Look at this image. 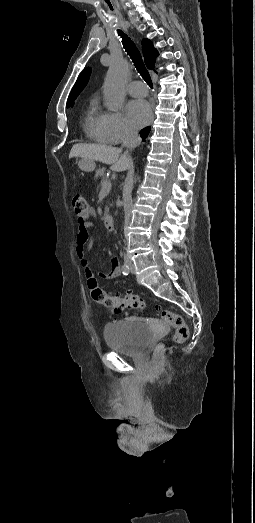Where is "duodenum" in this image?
<instances>
[{
	"label": "duodenum",
	"mask_w": 255,
	"mask_h": 523,
	"mask_svg": "<svg viewBox=\"0 0 255 523\" xmlns=\"http://www.w3.org/2000/svg\"><path fill=\"white\" fill-rule=\"evenodd\" d=\"M104 223L108 230H114V218L112 215H106L104 217Z\"/></svg>",
	"instance_id": "410a0bca"
}]
</instances>
